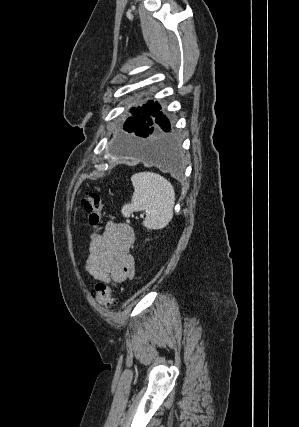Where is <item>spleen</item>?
<instances>
[{"label":"spleen","instance_id":"1","mask_svg":"<svg viewBox=\"0 0 299 427\" xmlns=\"http://www.w3.org/2000/svg\"><path fill=\"white\" fill-rule=\"evenodd\" d=\"M134 193L131 203L122 207L124 217L145 211L143 226L147 229L164 228L173 217L175 192L172 184L163 176L153 172H140L131 177Z\"/></svg>","mask_w":299,"mask_h":427}]
</instances>
